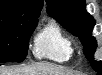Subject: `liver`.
I'll return each mask as SVG.
<instances>
[{"instance_id":"obj_1","label":"liver","mask_w":102,"mask_h":75,"mask_svg":"<svg viewBox=\"0 0 102 75\" xmlns=\"http://www.w3.org/2000/svg\"><path fill=\"white\" fill-rule=\"evenodd\" d=\"M0 75H77L58 66L36 63L30 66L0 68Z\"/></svg>"}]
</instances>
